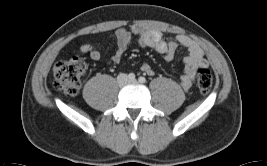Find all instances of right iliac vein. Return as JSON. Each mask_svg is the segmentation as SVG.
<instances>
[{
  "label": "right iliac vein",
  "mask_w": 267,
  "mask_h": 166,
  "mask_svg": "<svg viewBox=\"0 0 267 166\" xmlns=\"http://www.w3.org/2000/svg\"><path fill=\"white\" fill-rule=\"evenodd\" d=\"M118 84L120 87H123L124 85H126L128 83V78L125 74H121L118 76Z\"/></svg>",
  "instance_id": "obj_1"
}]
</instances>
